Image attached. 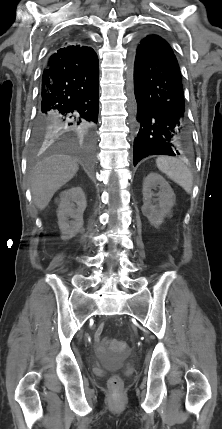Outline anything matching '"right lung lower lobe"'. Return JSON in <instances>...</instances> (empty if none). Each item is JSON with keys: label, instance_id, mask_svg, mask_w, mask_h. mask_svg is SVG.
Returning <instances> with one entry per match:
<instances>
[{"label": "right lung lower lobe", "instance_id": "1", "mask_svg": "<svg viewBox=\"0 0 222 429\" xmlns=\"http://www.w3.org/2000/svg\"><path fill=\"white\" fill-rule=\"evenodd\" d=\"M99 64L93 50L78 56L59 48L48 56L34 125L54 134L91 135L98 119Z\"/></svg>", "mask_w": 222, "mask_h": 429}]
</instances>
